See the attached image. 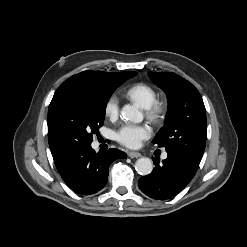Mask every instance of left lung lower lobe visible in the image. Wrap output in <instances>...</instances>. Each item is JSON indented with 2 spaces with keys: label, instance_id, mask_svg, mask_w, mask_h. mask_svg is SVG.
<instances>
[{
  "label": "left lung lower lobe",
  "instance_id": "1",
  "mask_svg": "<svg viewBox=\"0 0 247 247\" xmlns=\"http://www.w3.org/2000/svg\"><path fill=\"white\" fill-rule=\"evenodd\" d=\"M168 157L159 165L154 159L153 171L139 179L141 191L159 200L168 199L181 191L193 178L201 161L188 154L167 152Z\"/></svg>",
  "mask_w": 247,
  "mask_h": 247
}]
</instances>
